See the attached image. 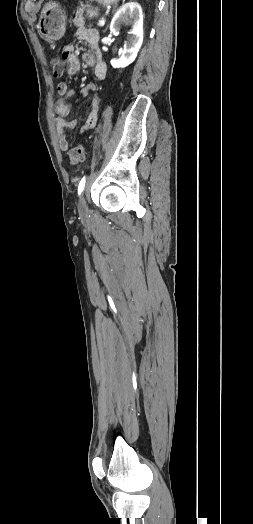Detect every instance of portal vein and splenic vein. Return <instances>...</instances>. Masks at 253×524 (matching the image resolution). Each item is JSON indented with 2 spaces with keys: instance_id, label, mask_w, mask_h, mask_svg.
Wrapping results in <instances>:
<instances>
[{
  "instance_id": "obj_1",
  "label": "portal vein and splenic vein",
  "mask_w": 253,
  "mask_h": 524,
  "mask_svg": "<svg viewBox=\"0 0 253 524\" xmlns=\"http://www.w3.org/2000/svg\"><path fill=\"white\" fill-rule=\"evenodd\" d=\"M99 26H104L105 25V20L104 19H101L98 23Z\"/></svg>"
}]
</instances>
